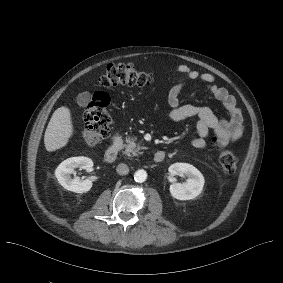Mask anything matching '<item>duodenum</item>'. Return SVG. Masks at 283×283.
<instances>
[{
    "label": "duodenum",
    "instance_id": "410a0bca",
    "mask_svg": "<svg viewBox=\"0 0 283 283\" xmlns=\"http://www.w3.org/2000/svg\"><path fill=\"white\" fill-rule=\"evenodd\" d=\"M122 140L119 133H115L112 137L109 147L106 149L104 154V159L106 162H114L118 156L121 149ZM165 159V153L163 151H156L153 155V160L156 163H160Z\"/></svg>",
    "mask_w": 283,
    "mask_h": 283
}]
</instances>
